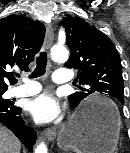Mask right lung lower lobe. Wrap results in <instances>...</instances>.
<instances>
[{"instance_id": "98d812e1", "label": "right lung lower lobe", "mask_w": 130, "mask_h": 153, "mask_svg": "<svg viewBox=\"0 0 130 153\" xmlns=\"http://www.w3.org/2000/svg\"><path fill=\"white\" fill-rule=\"evenodd\" d=\"M0 123L9 128L22 140L29 151L36 141V132L25 124L21 117V108L14 106L12 101H0Z\"/></svg>"}]
</instances>
